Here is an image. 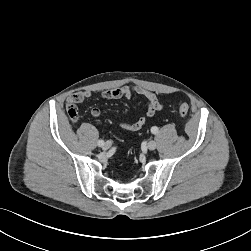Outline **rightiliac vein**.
Returning <instances> with one entry per match:
<instances>
[{
  "instance_id": "right-iliac-vein-1",
  "label": "right iliac vein",
  "mask_w": 251,
  "mask_h": 251,
  "mask_svg": "<svg viewBox=\"0 0 251 251\" xmlns=\"http://www.w3.org/2000/svg\"><path fill=\"white\" fill-rule=\"evenodd\" d=\"M110 147H111V143H110V142H106V143L102 146V148H103L104 150H108Z\"/></svg>"
}]
</instances>
